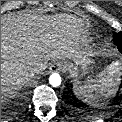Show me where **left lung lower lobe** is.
<instances>
[{"mask_svg":"<svg viewBox=\"0 0 122 122\" xmlns=\"http://www.w3.org/2000/svg\"><path fill=\"white\" fill-rule=\"evenodd\" d=\"M118 49H119V51L122 53V47L120 46V47H118Z\"/></svg>","mask_w":122,"mask_h":122,"instance_id":"obj_1","label":"left lung lower lobe"}]
</instances>
